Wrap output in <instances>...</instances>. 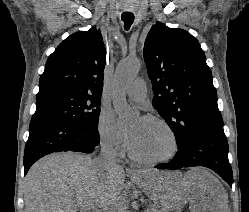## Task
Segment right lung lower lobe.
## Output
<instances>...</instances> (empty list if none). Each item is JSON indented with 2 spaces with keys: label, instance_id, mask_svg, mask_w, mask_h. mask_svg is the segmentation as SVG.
Segmentation results:
<instances>
[{
  "label": "right lung lower lobe",
  "instance_id": "right-lung-lower-lobe-1",
  "mask_svg": "<svg viewBox=\"0 0 249 212\" xmlns=\"http://www.w3.org/2000/svg\"><path fill=\"white\" fill-rule=\"evenodd\" d=\"M99 146L97 129L66 122L40 123L30 127L24 152V174L39 158L53 152L91 153Z\"/></svg>",
  "mask_w": 249,
  "mask_h": 212
}]
</instances>
